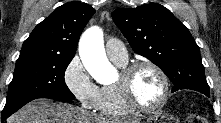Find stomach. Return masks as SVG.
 Returning <instances> with one entry per match:
<instances>
[{
    "label": "stomach",
    "instance_id": "stomach-1",
    "mask_svg": "<svg viewBox=\"0 0 221 123\" xmlns=\"http://www.w3.org/2000/svg\"><path fill=\"white\" fill-rule=\"evenodd\" d=\"M137 123H178L176 119L162 111H156L136 121Z\"/></svg>",
    "mask_w": 221,
    "mask_h": 123
}]
</instances>
